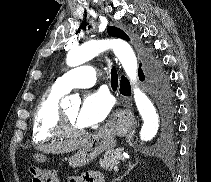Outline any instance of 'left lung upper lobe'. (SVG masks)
<instances>
[{"label": "left lung upper lobe", "instance_id": "1", "mask_svg": "<svg viewBox=\"0 0 211 182\" xmlns=\"http://www.w3.org/2000/svg\"><path fill=\"white\" fill-rule=\"evenodd\" d=\"M107 31L110 36L129 40V37L119 28L109 26Z\"/></svg>", "mask_w": 211, "mask_h": 182}]
</instances>
